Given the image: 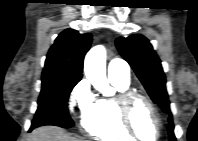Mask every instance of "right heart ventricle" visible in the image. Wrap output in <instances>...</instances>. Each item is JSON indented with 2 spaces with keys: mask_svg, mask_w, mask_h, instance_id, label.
I'll use <instances>...</instances> for the list:
<instances>
[{
  "mask_svg": "<svg viewBox=\"0 0 198 141\" xmlns=\"http://www.w3.org/2000/svg\"><path fill=\"white\" fill-rule=\"evenodd\" d=\"M111 83L119 93L129 90V83L117 80H111ZM83 127L90 135L105 141L134 139L121 124L115 98L96 100L83 120Z\"/></svg>",
  "mask_w": 198,
  "mask_h": 141,
  "instance_id": "right-heart-ventricle-1",
  "label": "right heart ventricle"
}]
</instances>
